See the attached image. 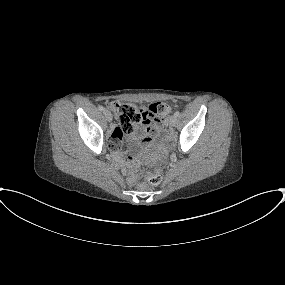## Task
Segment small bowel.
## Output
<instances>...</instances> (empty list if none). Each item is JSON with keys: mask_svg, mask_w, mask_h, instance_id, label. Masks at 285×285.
Listing matches in <instances>:
<instances>
[{"mask_svg": "<svg viewBox=\"0 0 285 285\" xmlns=\"http://www.w3.org/2000/svg\"><path fill=\"white\" fill-rule=\"evenodd\" d=\"M155 126H156V122L154 120L146 121L142 123L141 125L137 126L135 128L136 133L133 135V140L135 141L140 140L146 135L150 134L153 131ZM123 135L124 134L118 128H114L111 133L110 139L108 141V146L110 149L113 150V158L115 159V161L120 166H122L123 169H125L122 157L119 154V151L122 146ZM127 180L130 184H132L134 182V177L132 175H129L127 177Z\"/></svg>", "mask_w": 285, "mask_h": 285, "instance_id": "small-bowel-1", "label": "small bowel"}]
</instances>
